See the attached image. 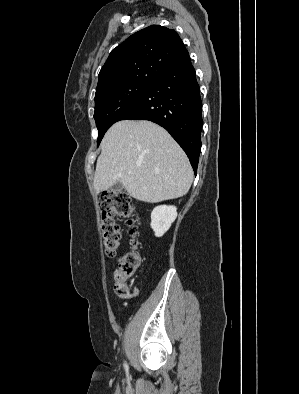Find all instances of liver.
I'll list each match as a JSON object with an SVG mask.
<instances>
[{
    "instance_id": "liver-1",
    "label": "liver",
    "mask_w": 299,
    "mask_h": 394,
    "mask_svg": "<svg viewBox=\"0 0 299 394\" xmlns=\"http://www.w3.org/2000/svg\"><path fill=\"white\" fill-rule=\"evenodd\" d=\"M120 181L139 201L157 203L184 196L193 182L188 157L159 125L118 121L107 131L94 175L96 193Z\"/></svg>"
}]
</instances>
